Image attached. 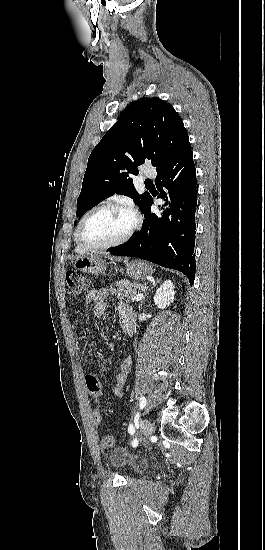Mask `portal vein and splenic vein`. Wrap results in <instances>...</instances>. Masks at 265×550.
I'll return each instance as SVG.
<instances>
[{
  "instance_id": "portal-vein-and-splenic-vein-1",
  "label": "portal vein and splenic vein",
  "mask_w": 265,
  "mask_h": 550,
  "mask_svg": "<svg viewBox=\"0 0 265 550\" xmlns=\"http://www.w3.org/2000/svg\"><path fill=\"white\" fill-rule=\"evenodd\" d=\"M142 298H143V294H142V293H139V294H137V295L134 297V300H135V301H140Z\"/></svg>"
}]
</instances>
